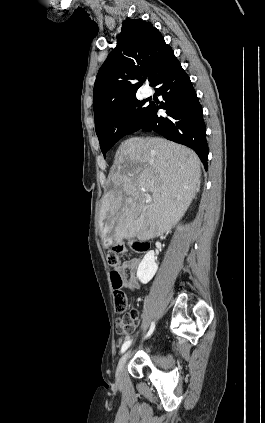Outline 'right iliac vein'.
Returning a JSON list of instances; mask_svg holds the SVG:
<instances>
[{
  "label": "right iliac vein",
  "mask_w": 265,
  "mask_h": 423,
  "mask_svg": "<svg viewBox=\"0 0 265 423\" xmlns=\"http://www.w3.org/2000/svg\"><path fill=\"white\" fill-rule=\"evenodd\" d=\"M129 354H130V350L129 351H127L122 357H121V359H120V361H119V363H118V366H117V369H116V378H117V380H120L121 379V376H122V373H123V370H124V367H125V364H126V362H127V359H128V357H129Z\"/></svg>",
  "instance_id": "right-iliac-vein-1"
}]
</instances>
